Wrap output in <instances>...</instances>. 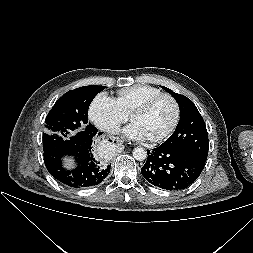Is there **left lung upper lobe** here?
<instances>
[{"label": "left lung upper lobe", "mask_w": 253, "mask_h": 253, "mask_svg": "<svg viewBox=\"0 0 253 253\" xmlns=\"http://www.w3.org/2000/svg\"><path fill=\"white\" fill-rule=\"evenodd\" d=\"M161 87L175 97L180 108L179 123L174 133L162 145L191 152L206 160L209 147L208 133L198 109L186 96Z\"/></svg>", "instance_id": "1"}]
</instances>
